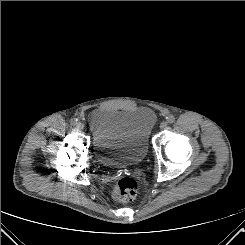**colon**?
I'll return each mask as SVG.
<instances>
[{
	"mask_svg": "<svg viewBox=\"0 0 245 245\" xmlns=\"http://www.w3.org/2000/svg\"><path fill=\"white\" fill-rule=\"evenodd\" d=\"M137 191V182L131 177H123L115 183L112 197L119 202H130L136 197Z\"/></svg>",
	"mask_w": 245,
	"mask_h": 245,
	"instance_id": "1",
	"label": "colon"
}]
</instances>
